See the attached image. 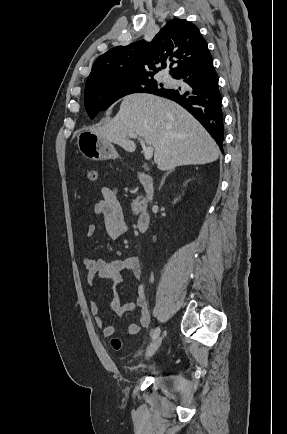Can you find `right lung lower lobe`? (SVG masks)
<instances>
[{
    "mask_svg": "<svg viewBox=\"0 0 287 434\" xmlns=\"http://www.w3.org/2000/svg\"><path fill=\"white\" fill-rule=\"evenodd\" d=\"M186 85L178 89H161L153 94L173 100L189 111L210 133L222 150L223 113L218 76L208 51L175 76Z\"/></svg>",
    "mask_w": 287,
    "mask_h": 434,
    "instance_id": "right-lung-lower-lobe-1",
    "label": "right lung lower lobe"
}]
</instances>
